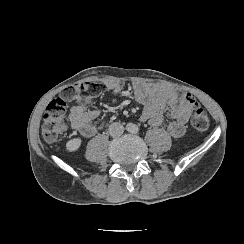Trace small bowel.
I'll list each match as a JSON object with an SVG mask.
<instances>
[{
  "label": "small bowel",
  "mask_w": 244,
  "mask_h": 244,
  "mask_svg": "<svg viewBox=\"0 0 244 244\" xmlns=\"http://www.w3.org/2000/svg\"><path fill=\"white\" fill-rule=\"evenodd\" d=\"M103 84L113 95L122 92V83L118 80H105ZM187 95L176 88L143 81L133 82L130 89V96L143 106L140 120L159 127L168 119L167 132L175 139L184 136L186 123L192 113V108L185 104ZM99 114V110H86L83 101L76 100L69 115L72 128L85 137L98 134L105 126V122L92 124Z\"/></svg>",
  "instance_id": "c3829d8e"
}]
</instances>
